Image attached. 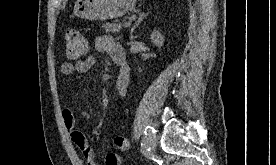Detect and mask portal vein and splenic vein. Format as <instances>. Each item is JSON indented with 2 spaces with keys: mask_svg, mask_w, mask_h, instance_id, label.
Instances as JSON below:
<instances>
[{
  "mask_svg": "<svg viewBox=\"0 0 276 165\" xmlns=\"http://www.w3.org/2000/svg\"><path fill=\"white\" fill-rule=\"evenodd\" d=\"M130 25H131V22H130V21L124 23V26H125V27H128V26H130Z\"/></svg>",
  "mask_w": 276,
  "mask_h": 165,
  "instance_id": "1",
  "label": "portal vein and splenic vein"
}]
</instances>
